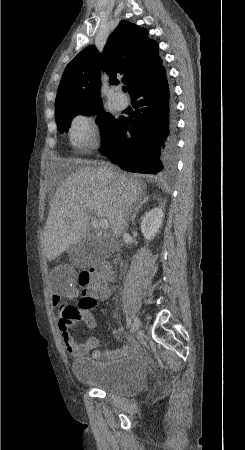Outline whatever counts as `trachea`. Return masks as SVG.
I'll return each mask as SVG.
<instances>
[{
	"instance_id": "trachea-1",
	"label": "trachea",
	"mask_w": 245,
	"mask_h": 450,
	"mask_svg": "<svg viewBox=\"0 0 245 450\" xmlns=\"http://www.w3.org/2000/svg\"><path fill=\"white\" fill-rule=\"evenodd\" d=\"M122 90H123L124 92H127V87H126V86H123V87H122Z\"/></svg>"
}]
</instances>
